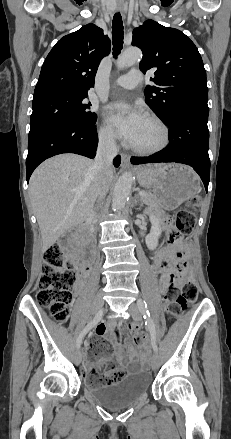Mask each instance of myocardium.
<instances>
[{
    "label": "myocardium",
    "instance_id": "1",
    "mask_svg": "<svg viewBox=\"0 0 231 439\" xmlns=\"http://www.w3.org/2000/svg\"><path fill=\"white\" fill-rule=\"evenodd\" d=\"M146 119H148L150 122L157 125L161 131V139L160 141L150 147H138L131 145L130 148L141 155H152L155 153H158L162 150H164L170 142V130L167 124L162 120L158 115L156 114H147Z\"/></svg>",
    "mask_w": 231,
    "mask_h": 439
}]
</instances>
